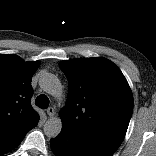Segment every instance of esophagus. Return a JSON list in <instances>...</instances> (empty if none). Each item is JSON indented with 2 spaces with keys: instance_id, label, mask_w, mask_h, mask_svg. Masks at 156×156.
Here are the masks:
<instances>
[{
  "instance_id": "obj_1",
  "label": "esophagus",
  "mask_w": 156,
  "mask_h": 156,
  "mask_svg": "<svg viewBox=\"0 0 156 156\" xmlns=\"http://www.w3.org/2000/svg\"><path fill=\"white\" fill-rule=\"evenodd\" d=\"M46 111L50 117H53L55 115V109L53 107H49Z\"/></svg>"
}]
</instances>
